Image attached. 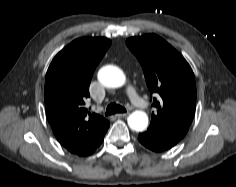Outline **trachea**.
<instances>
[{"label":"trachea","mask_w":236,"mask_h":187,"mask_svg":"<svg viewBox=\"0 0 236 187\" xmlns=\"http://www.w3.org/2000/svg\"><path fill=\"white\" fill-rule=\"evenodd\" d=\"M125 112L126 109L123 106L116 103H111L107 106L105 115L108 116L115 113H125Z\"/></svg>","instance_id":"trachea-1"}]
</instances>
